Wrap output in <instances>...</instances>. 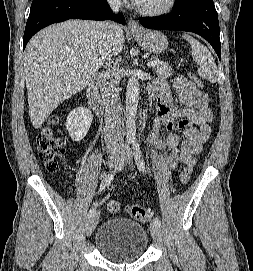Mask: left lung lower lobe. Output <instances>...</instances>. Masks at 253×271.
<instances>
[{
    "label": "left lung lower lobe",
    "mask_w": 253,
    "mask_h": 271,
    "mask_svg": "<svg viewBox=\"0 0 253 271\" xmlns=\"http://www.w3.org/2000/svg\"><path fill=\"white\" fill-rule=\"evenodd\" d=\"M139 21L149 29L194 32L205 38L221 59L220 29L213 0H176L171 13Z\"/></svg>",
    "instance_id": "1"
}]
</instances>
